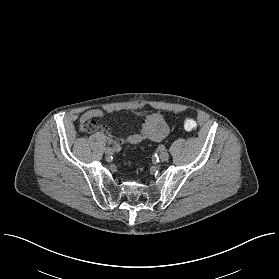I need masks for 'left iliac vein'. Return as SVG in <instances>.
Returning a JSON list of instances; mask_svg holds the SVG:
<instances>
[{
  "label": "left iliac vein",
  "instance_id": "1",
  "mask_svg": "<svg viewBox=\"0 0 279 279\" xmlns=\"http://www.w3.org/2000/svg\"><path fill=\"white\" fill-rule=\"evenodd\" d=\"M161 161H167L169 159V153L167 151H163L159 155Z\"/></svg>",
  "mask_w": 279,
  "mask_h": 279
}]
</instances>
